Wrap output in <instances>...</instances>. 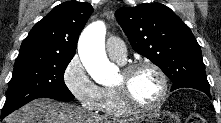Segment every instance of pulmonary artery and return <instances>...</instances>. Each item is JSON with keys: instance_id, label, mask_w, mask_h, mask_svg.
<instances>
[{"instance_id": "pulmonary-artery-1", "label": "pulmonary artery", "mask_w": 221, "mask_h": 123, "mask_svg": "<svg viewBox=\"0 0 221 123\" xmlns=\"http://www.w3.org/2000/svg\"><path fill=\"white\" fill-rule=\"evenodd\" d=\"M108 56L117 62L124 63L126 60V47L123 41L115 36L108 38L106 42Z\"/></svg>"}]
</instances>
